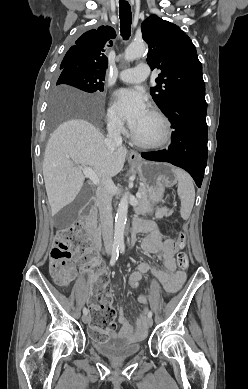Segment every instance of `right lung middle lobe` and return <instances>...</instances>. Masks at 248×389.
Returning <instances> with one entry per match:
<instances>
[{"mask_svg": "<svg viewBox=\"0 0 248 389\" xmlns=\"http://www.w3.org/2000/svg\"><path fill=\"white\" fill-rule=\"evenodd\" d=\"M60 69L63 70L56 85L67 84L89 93L103 91L104 77L75 67H60ZM72 107L77 112L85 114L90 118H95L98 114V107L92 103H77L73 104ZM59 109V107H56L54 111L58 112Z\"/></svg>", "mask_w": 248, "mask_h": 389, "instance_id": "1", "label": "right lung middle lobe"}]
</instances>
